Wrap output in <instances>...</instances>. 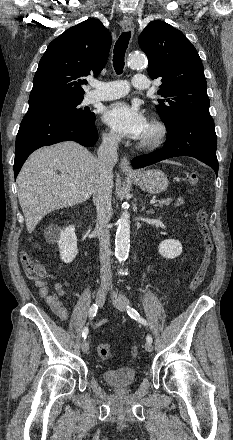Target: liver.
I'll return each mask as SVG.
<instances>
[{"label":"liver","mask_w":233,"mask_h":440,"mask_svg":"<svg viewBox=\"0 0 233 440\" xmlns=\"http://www.w3.org/2000/svg\"><path fill=\"white\" fill-rule=\"evenodd\" d=\"M98 175L97 158L76 142L34 151L17 177L27 231L31 233L48 213L89 199Z\"/></svg>","instance_id":"obj_1"}]
</instances>
